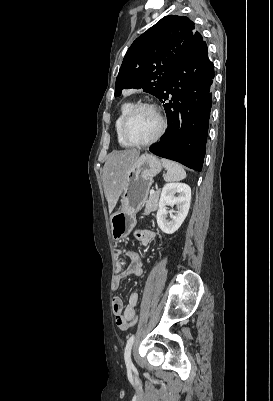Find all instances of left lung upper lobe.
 Segmentation results:
<instances>
[{
    "label": "left lung upper lobe",
    "mask_w": 273,
    "mask_h": 401,
    "mask_svg": "<svg viewBox=\"0 0 273 401\" xmlns=\"http://www.w3.org/2000/svg\"><path fill=\"white\" fill-rule=\"evenodd\" d=\"M200 38L202 36L188 17H163L128 49L116 78L115 97L123 89L143 88L144 92L159 98L177 63Z\"/></svg>",
    "instance_id": "5c2ea615"
}]
</instances>
